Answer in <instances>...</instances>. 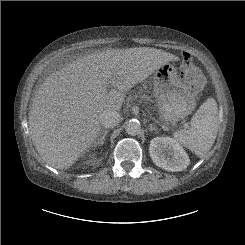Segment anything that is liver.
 Here are the masks:
<instances>
[{
  "label": "liver",
  "mask_w": 245,
  "mask_h": 245,
  "mask_svg": "<svg viewBox=\"0 0 245 245\" xmlns=\"http://www.w3.org/2000/svg\"><path fill=\"white\" fill-rule=\"evenodd\" d=\"M178 59L150 47L110 49L80 57L49 75L29 112L39 155L54 168L68 169L96 142L100 115L120 111L127 91Z\"/></svg>",
  "instance_id": "liver-1"
}]
</instances>
